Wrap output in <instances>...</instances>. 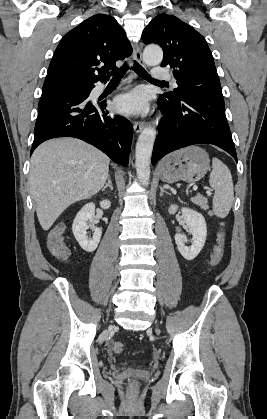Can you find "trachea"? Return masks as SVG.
<instances>
[{
	"label": "trachea",
	"instance_id": "1",
	"mask_svg": "<svg viewBox=\"0 0 267 419\" xmlns=\"http://www.w3.org/2000/svg\"><path fill=\"white\" fill-rule=\"evenodd\" d=\"M129 69V67L127 66V63L125 62L123 64V66H121L119 69L112 71V81H119L121 80V78L124 76V74L126 73V71ZM133 69L134 71L137 73V75L143 79L146 80H150V81H155V82H161V83H166L164 81H157L155 79H153L148 73L147 71L137 62L134 61L133 64Z\"/></svg>",
	"mask_w": 267,
	"mask_h": 419
}]
</instances>
